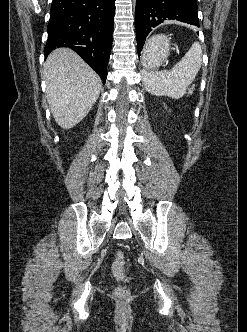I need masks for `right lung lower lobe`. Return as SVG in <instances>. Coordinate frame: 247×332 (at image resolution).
<instances>
[{
    "instance_id": "right-lung-lower-lobe-1",
    "label": "right lung lower lobe",
    "mask_w": 247,
    "mask_h": 332,
    "mask_svg": "<svg viewBox=\"0 0 247 332\" xmlns=\"http://www.w3.org/2000/svg\"><path fill=\"white\" fill-rule=\"evenodd\" d=\"M115 0H53L46 56L56 47L78 53L105 84L112 47Z\"/></svg>"
}]
</instances>
